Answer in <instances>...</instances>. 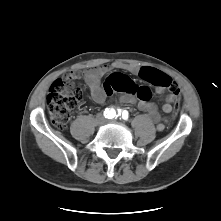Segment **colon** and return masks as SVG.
Returning <instances> with one entry per match:
<instances>
[{"mask_svg": "<svg viewBox=\"0 0 221 221\" xmlns=\"http://www.w3.org/2000/svg\"><path fill=\"white\" fill-rule=\"evenodd\" d=\"M140 77L154 85L168 89L175 97L179 98L180 89L170 76L153 68L144 67L139 72ZM107 92L111 94L113 91L106 87ZM125 90L138 99L147 101L151 98L152 92L147 85H136L130 83L120 88ZM84 94L83 89L72 81V77L66 76L57 79L50 87L47 99V106L52 123L59 129L66 128L72 113L74 112L78 102ZM178 112V104L174 107V114Z\"/></svg>", "mask_w": 221, "mask_h": 221, "instance_id": "colon-1", "label": "colon"}]
</instances>
